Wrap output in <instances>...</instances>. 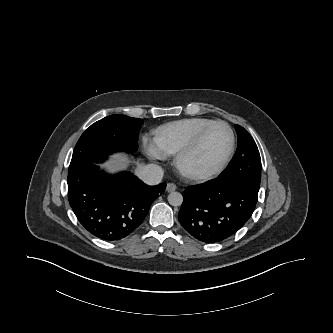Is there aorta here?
Here are the masks:
<instances>
[{"mask_svg":"<svg viewBox=\"0 0 333 333\" xmlns=\"http://www.w3.org/2000/svg\"><path fill=\"white\" fill-rule=\"evenodd\" d=\"M168 202L172 206H180L183 202V196L179 192H171L168 195Z\"/></svg>","mask_w":333,"mask_h":333,"instance_id":"aorta-1","label":"aorta"}]
</instances>
